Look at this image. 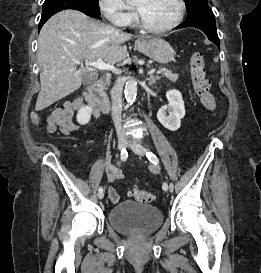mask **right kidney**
<instances>
[{
    "label": "right kidney",
    "mask_w": 261,
    "mask_h": 273,
    "mask_svg": "<svg viewBox=\"0 0 261 273\" xmlns=\"http://www.w3.org/2000/svg\"><path fill=\"white\" fill-rule=\"evenodd\" d=\"M92 108L90 106L82 107L77 114V122L81 125H86L91 118Z\"/></svg>",
    "instance_id": "1"
}]
</instances>
